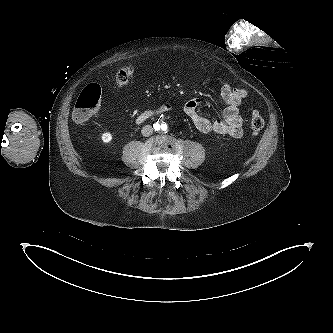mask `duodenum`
Listing matches in <instances>:
<instances>
[{
	"instance_id": "410a0bca",
	"label": "duodenum",
	"mask_w": 333,
	"mask_h": 333,
	"mask_svg": "<svg viewBox=\"0 0 333 333\" xmlns=\"http://www.w3.org/2000/svg\"><path fill=\"white\" fill-rule=\"evenodd\" d=\"M170 110V106L169 105H164L161 106L160 108L156 109V110H147L142 112L136 119L137 123H142L145 120H147L148 118H150L151 116L155 115V114H159L162 112H166Z\"/></svg>"
}]
</instances>
